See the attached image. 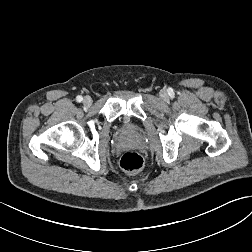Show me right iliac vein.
Returning <instances> with one entry per match:
<instances>
[{
	"label": "right iliac vein",
	"mask_w": 252,
	"mask_h": 252,
	"mask_svg": "<svg viewBox=\"0 0 252 252\" xmlns=\"http://www.w3.org/2000/svg\"><path fill=\"white\" fill-rule=\"evenodd\" d=\"M83 104H84V106H86V107H90V106L92 105V99H91V97L86 96V97L83 99Z\"/></svg>",
	"instance_id": "obj_1"
}]
</instances>
